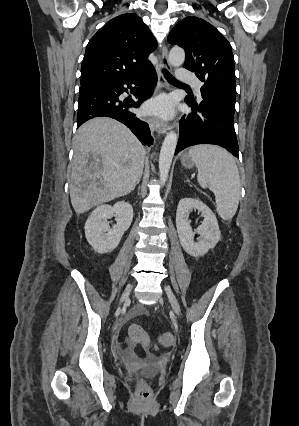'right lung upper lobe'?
<instances>
[{"label": "right lung upper lobe", "mask_w": 299, "mask_h": 426, "mask_svg": "<svg viewBox=\"0 0 299 426\" xmlns=\"http://www.w3.org/2000/svg\"><path fill=\"white\" fill-rule=\"evenodd\" d=\"M157 44L142 19L133 13L108 21L89 41L80 84L115 83L153 67L146 58Z\"/></svg>", "instance_id": "1"}]
</instances>
